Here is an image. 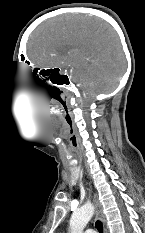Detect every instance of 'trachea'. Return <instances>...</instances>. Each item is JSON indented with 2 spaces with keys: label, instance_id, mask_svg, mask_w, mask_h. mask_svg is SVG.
I'll list each match as a JSON object with an SVG mask.
<instances>
[{
  "label": "trachea",
  "instance_id": "obj_1",
  "mask_svg": "<svg viewBox=\"0 0 145 233\" xmlns=\"http://www.w3.org/2000/svg\"><path fill=\"white\" fill-rule=\"evenodd\" d=\"M95 226L98 230L99 233H103V225L102 222H100L99 220L96 221Z\"/></svg>",
  "mask_w": 145,
  "mask_h": 233
}]
</instances>
